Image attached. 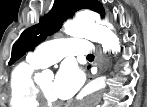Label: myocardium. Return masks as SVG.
Masks as SVG:
<instances>
[{"label": "myocardium", "instance_id": "f54148a6", "mask_svg": "<svg viewBox=\"0 0 147 107\" xmlns=\"http://www.w3.org/2000/svg\"><path fill=\"white\" fill-rule=\"evenodd\" d=\"M34 95L39 107H58L60 101L50 99L43 91L40 82L34 83Z\"/></svg>", "mask_w": 147, "mask_h": 107}]
</instances>
